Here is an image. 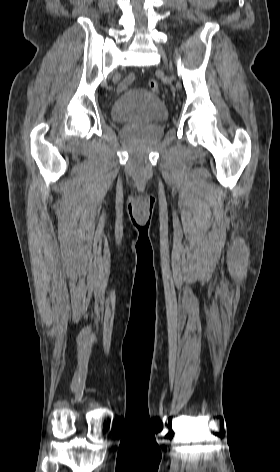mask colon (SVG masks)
I'll return each instance as SVG.
<instances>
[{"label":"colon","mask_w":280,"mask_h":472,"mask_svg":"<svg viewBox=\"0 0 280 472\" xmlns=\"http://www.w3.org/2000/svg\"><path fill=\"white\" fill-rule=\"evenodd\" d=\"M148 86L152 91H158V89H159V84L154 79L149 81Z\"/></svg>","instance_id":"obj_1"}]
</instances>
